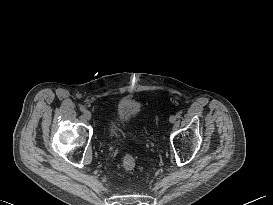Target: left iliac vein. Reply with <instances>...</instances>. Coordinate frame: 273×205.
Returning a JSON list of instances; mask_svg holds the SVG:
<instances>
[{"label": "left iliac vein", "instance_id": "obj_1", "mask_svg": "<svg viewBox=\"0 0 273 205\" xmlns=\"http://www.w3.org/2000/svg\"><path fill=\"white\" fill-rule=\"evenodd\" d=\"M170 123H175L176 121V116L175 115H171L169 118Z\"/></svg>", "mask_w": 273, "mask_h": 205}]
</instances>
